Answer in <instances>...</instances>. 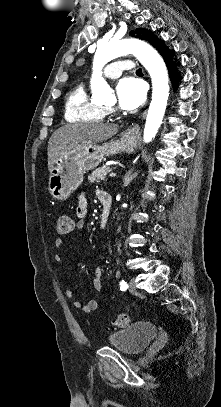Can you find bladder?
<instances>
[{
	"label": "bladder",
	"mask_w": 221,
	"mask_h": 407,
	"mask_svg": "<svg viewBox=\"0 0 221 407\" xmlns=\"http://www.w3.org/2000/svg\"><path fill=\"white\" fill-rule=\"evenodd\" d=\"M157 331L153 321H139L109 334V342L124 354H137L151 343Z\"/></svg>",
	"instance_id": "31cf9c89"
}]
</instances>
